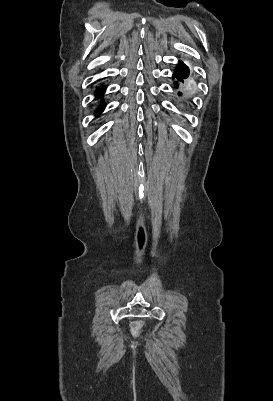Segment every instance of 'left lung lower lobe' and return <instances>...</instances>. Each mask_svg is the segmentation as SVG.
<instances>
[{"label": "left lung lower lobe", "instance_id": "left-lung-lower-lobe-1", "mask_svg": "<svg viewBox=\"0 0 273 401\" xmlns=\"http://www.w3.org/2000/svg\"><path fill=\"white\" fill-rule=\"evenodd\" d=\"M189 76V68L182 61H179L177 68L174 71L173 78H177L179 82L184 83V79ZM175 87L178 88V82H175ZM181 92H178V95H181Z\"/></svg>", "mask_w": 273, "mask_h": 401}]
</instances>
